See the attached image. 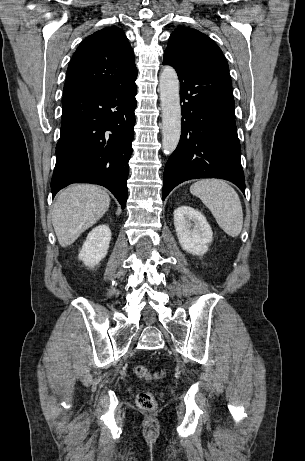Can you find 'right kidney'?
<instances>
[{"label":"right kidney","instance_id":"ca27d5eb","mask_svg":"<svg viewBox=\"0 0 305 461\" xmlns=\"http://www.w3.org/2000/svg\"><path fill=\"white\" fill-rule=\"evenodd\" d=\"M110 240L111 230L108 225L103 224L92 229L79 252V260L90 268L99 264L107 254Z\"/></svg>","mask_w":305,"mask_h":461}]
</instances>
